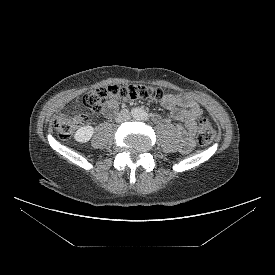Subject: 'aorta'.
<instances>
[{"mask_svg": "<svg viewBox=\"0 0 275 275\" xmlns=\"http://www.w3.org/2000/svg\"><path fill=\"white\" fill-rule=\"evenodd\" d=\"M132 116L136 120H143L145 118V111L141 108H134L132 110Z\"/></svg>", "mask_w": 275, "mask_h": 275, "instance_id": "1", "label": "aorta"}]
</instances>
